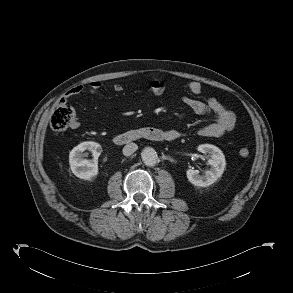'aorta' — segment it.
<instances>
[{"instance_id": "762f6f07", "label": "aorta", "mask_w": 293, "mask_h": 293, "mask_svg": "<svg viewBox=\"0 0 293 293\" xmlns=\"http://www.w3.org/2000/svg\"><path fill=\"white\" fill-rule=\"evenodd\" d=\"M141 158L146 166H154L157 163L158 155L153 148L146 147L141 153Z\"/></svg>"}]
</instances>
